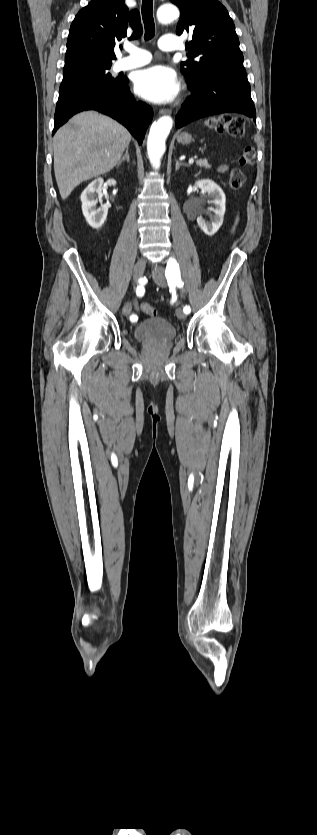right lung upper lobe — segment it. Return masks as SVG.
Listing matches in <instances>:
<instances>
[{
	"mask_svg": "<svg viewBox=\"0 0 317 835\" xmlns=\"http://www.w3.org/2000/svg\"><path fill=\"white\" fill-rule=\"evenodd\" d=\"M133 29L132 38L142 34L140 14L128 11L124 0H92L73 20L65 60L75 58L116 59L114 46Z\"/></svg>",
	"mask_w": 317,
	"mask_h": 835,
	"instance_id": "right-lung-upper-lobe-1",
	"label": "right lung upper lobe"
}]
</instances>
